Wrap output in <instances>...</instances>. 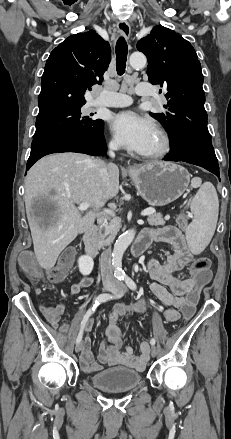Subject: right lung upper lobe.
<instances>
[{
    "mask_svg": "<svg viewBox=\"0 0 231 439\" xmlns=\"http://www.w3.org/2000/svg\"><path fill=\"white\" fill-rule=\"evenodd\" d=\"M111 60V49L95 31L69 36L46 62L38 97L37 118L82 107L84 94L101 83Z\"/></svg>",
    "mask_w": 231,
    "mask_h": 439,
    "instance_id": "obj_1",
    "label": "right lung upper lobe"
}]
</instances>
